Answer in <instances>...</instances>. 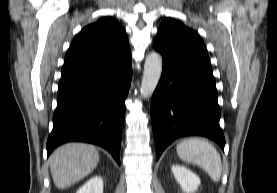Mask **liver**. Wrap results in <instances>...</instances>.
<instances>
[{
    "mask_svg": "<svg viewBox=\"0 0 277 193\" xmlns=\"http://www.w3.org/2000/svg\"><path fill=\"white\" fill-rule=\"evenodd\" d=\"M99 162L96 148L84 143H68L57 148L49 158L55 186L64 189L89 175Z\"/></svg>",
    "mask_w": 277,
    "mask_h": 193,
    "instance_id": "6515ba94",
    "label": "liver"
}]
</instances>
